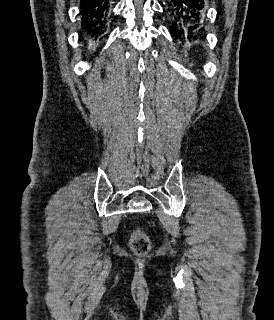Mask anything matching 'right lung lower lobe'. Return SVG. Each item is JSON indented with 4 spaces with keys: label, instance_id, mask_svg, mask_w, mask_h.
<instances>
[{
    "label": "right lung lower lobe",
    "instance_id": "1",
    "mask_svg": "<svg viewBox=\"0 0 274 320\" xmlns=\"http://www.w3.org/2000/svg\"><path fill=\"white\" fill-rule=\"evenodd\" d=\"M111 0H81L80 16L82 28L87 37L97 39L103 34L109 11Z\"/></svg>",
    "mask_w": 274,
    "mask_h": 320
}]
</instances>
